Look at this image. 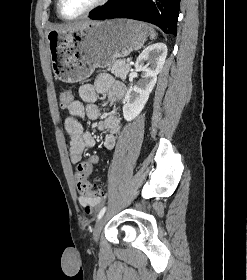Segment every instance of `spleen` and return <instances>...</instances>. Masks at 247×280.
I'll return each instance as SVG.
<instances>
[{"label":"spleen","mask_w":247,"mask_h":280,"mask_svg":"<svg viewBox=\"0 0 247 280\" xmlns=\"http://www.w3.org/2000/svg\"><path fill=\"white\" fill-rule=\"evenodd\" d=\"M149 31H150V38L151 39H155L157 36L156 31L153 29V27H149Z\"/></svg>","instance_id":"1"}]
</instances>
